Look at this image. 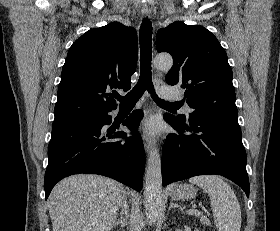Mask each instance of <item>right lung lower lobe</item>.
<instances>
[{"instance_id":"right-lung-lower-lobe-1","label":"right lung lower lobe","mask_w":280,"mask_h":231,"mask_svg":"<svg viewBox=\"0 0 280 231\" xmlns=\"http://www.w3.org/2000/svg\"><path fill=\"white\" fill-rule=\"evenodd\" d=\"M108 112L53 123L44 178L46 199L57 182L78 173L108 176L138 192L141 190L145 153L137 128L143 112L136 111L123 122L135 132L125 140H117L126 137L123 131L102 130L112 122Z\"/></svg>"}]
</instances>
